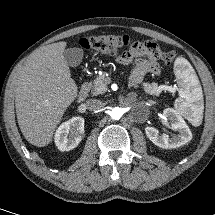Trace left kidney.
I'll list each match as a JSON object with an SVG mask.
<instances>
[{
    "label": "left kidney",
    "mask_w": 215,
    "mask_h": 215,
    "mask_svg": "<svg viewBox=\"0 0 215 215\" xmlns=\"http://www.w3.org/2000/svg\"><path fill=\"white\" fill-rule=\"evenodd\" d=\"M163 116L171 122V128L177 131L178 134L169 138L167 134L160 135L158 130L154 127H146L145 133L147 137L156 146L163 149L177 148L185 145L192 139V133L189 127L176 110L167 108L163 111Z\"/></svg>",
    "instance_id": "1"
}]
</instances>
